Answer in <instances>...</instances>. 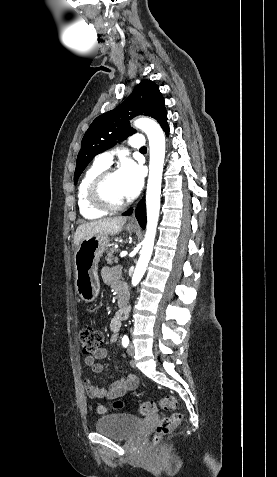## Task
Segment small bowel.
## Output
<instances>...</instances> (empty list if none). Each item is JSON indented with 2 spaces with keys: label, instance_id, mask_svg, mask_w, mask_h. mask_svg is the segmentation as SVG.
Wrapping results in <instances>:
<instances>
[{
  "label": "small bowel",
  "instance_id": "1",
  "mask_svg": "<svg viewBox=\"0 0 277 477\" xmlns=\"http://www.w3.org/2000/svg\"><path fill=\"white\" fill-rule=\"evenodd\" d=\"M120 273L121 270L119 267H104L101 271V276L106 284L116 287L117 291L120 292L124 291V288L118 283ZM125 317L126 314L124 312H118L111 319V343L117 341L121 323ZM106 356L107 350L105 348H99L93 355L86 356L84 363L93 373H101L103 371V365L99 360L106 358ZM115 369L120 372V377L113 380L107 389L93 384L89 379L85 380V388L91 398L112 400L125 395L137 387L138 378L135 375L125 373L119 366H116Z\"/></svg>",
  "mask_w": 277,
  "mask_h": 477
}]
</instances>
